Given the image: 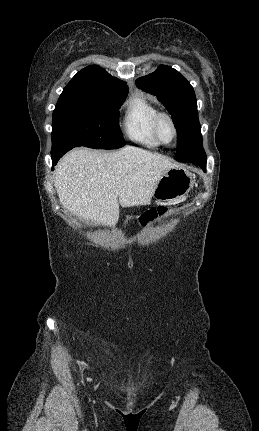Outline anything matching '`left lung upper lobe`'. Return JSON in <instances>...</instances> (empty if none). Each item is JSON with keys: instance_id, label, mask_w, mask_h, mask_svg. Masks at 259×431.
Listing matches in <instances>:
<instances>
[{"instance_id": "1", "label": "left lung upper lobe", "mask_w": 259, "mask_h": 431, "mask_svg": "<svg viewBox=\"0 0 259 431\" xmlns=\"http://www.w3.org/2000/svg\"><path fill=\"white\" fill-rule=\"evenodd\" d=\"M136 85L155 95L171 114L178 136L175 159L193 163L205 159L196 97L190 83L175 69L160 65L155 72L138 78Z\"/></svg>"}]
</instances>
